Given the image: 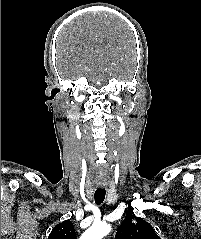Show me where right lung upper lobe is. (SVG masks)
<instances>
[{
  "mask_svg": "<svg viewBox=\"0 0 201 239\" xmlns=\"http://www.w3.org/2000/svg\"><path fill=\"white\" fill-rule=\"evenodd\" d=\"M48 239H76L75 229L70 220H65L56 225Z\"/></svg>",
  "mask_w": 201,
  "mask_h": 239,
  "instance_id": "right-lung-upper-lobe-1",
  "label": "right lung upper lobe"
}]
</instances>
